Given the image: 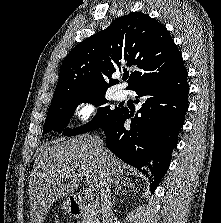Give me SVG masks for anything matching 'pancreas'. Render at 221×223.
Masks as SVG:
<instances>
[{
	"label": "pancreas",
	"mask_w": 221,
	"mask_h": 223,
	"mask_svg": "<svg viewBox=\"0 0 221 223\" xmlns=\"http://www.w3.org/2000/svg\"><path fill=\"white\" fill-rule=\"evenodd\" d=\"M78 223H97V219L93 213L85 212L82 220Z\"/></svg>",
	"instance_id": "obj_1"
}]
</instances>
